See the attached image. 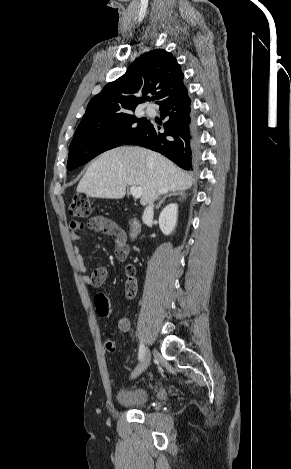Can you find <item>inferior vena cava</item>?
<instances>
[{
	"label": "inferior vena cava",
	"instance_id": "obj_1",
	"mask_svg": "<svg viewBox=\"0 0 291 469\" xmlns=\"http://www.w3.org/2000/svg\"><path fill=\"white\" fill-rule=\"evenodd\" d=\"M153 216V202L149 203V205L145 208L142 219L145 220L148 217Z\"/></svg>",
	"mask_w": 291,
	"mask_h": 469
}]
</instances>
